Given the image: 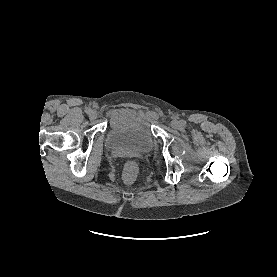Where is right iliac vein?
I'll return each instance as SVG.
<instances>
[{
    "label": "right iliac vein",
    "instance_id": "obj_1",
    "mask_svg": "<svg viewBox=\"0 0 277 277\" xmlns=\"http://www.w3.org/2000/svg\"><path fill=\"white\" fill-rule=\"evenodd\" d=\"M89 118H90L91 120L96 119V118H97V111L92 110V111L89 113Z\"/></svg>",
    "mask_w": 277,
    "mask_h": 277
}]
</instances>
